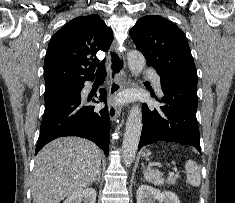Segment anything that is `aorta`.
<instances>
[{"label":"aorta","instance_id":"obj_1","mask_svg":"<svg viewBox=\"0 0 235 203\" xmlns=\"http://www.w3.org/2000/svg\"><path fill=\"white\" fill-rule=\"evenodd\" d=\"M129 69L138 76L146 65L144 56L138 51H130L127 55ZM142 111L139 105H134L129 113L122 145V158L125 166H130L135 159L142 131Z\"/></svg>","mask_w":235,"mask_h":203}]
</instances>
